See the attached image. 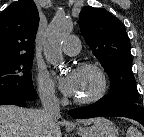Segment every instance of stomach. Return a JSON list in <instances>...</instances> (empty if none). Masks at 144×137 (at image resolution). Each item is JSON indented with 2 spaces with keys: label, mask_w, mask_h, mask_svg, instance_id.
Returning <instances> with one entry per match:
<instances>
[{
  "label": "stomach",
  "mask_w": 144,
  "mask_h": 137,
  "mask_svg": "<svg viewBox=\"0 0 144 137\" xmlns=\"http://www.w3.org/2000/svg\"><path fill=\"white\" fill-rule=\"evenodd\" d=\"M80 137H119L118 129L106 119H99L92 125L77 129Z\"/></svg>",
  "instance_id": "obj_1"
}]
</instances>
